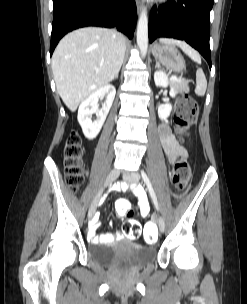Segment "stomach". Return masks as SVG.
Here are the masks:
<instances>
[{
    "mask_svg": "<svg viewBox=\"0 0 247 304\" xmlns=\"http://www.w3.org/2000/svg\"><path fill=\"white\" fill-rule=\"evenodd\" d=\"M152 53L163 66L175 73L182 72L186 67L183 56L174 44H155Z\"/></svg>",
    "mask_w": 247,
    "mask_h": 304,
    "instance_id": "stomach-1",
    "label": "stomach"
}]
</instances>
